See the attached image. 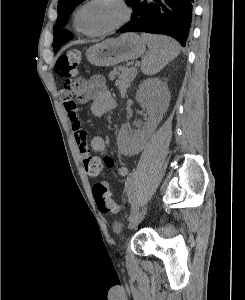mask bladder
Returning a JSON list of instances; mask_svg holds the SVG:
<instances>
[{"mask_svg":"<svg viewBox=\"0 0 245 300\" xmlns=\"http://www.w3.org/2000/svg\"><path fill=\"white\" fill-rule=\"evenodd\" d=\"M113 227H114V230L116 231V232H121L122 230H123V228H124V225H123V223L122 222H120V221H115L114 223H113Z\"/></svg>","mask_w":245,"mask_h":300,"instance_id":"bladder-1","label":"bladder"}]
</instances>
